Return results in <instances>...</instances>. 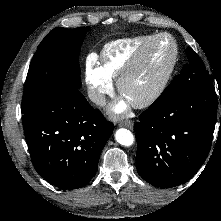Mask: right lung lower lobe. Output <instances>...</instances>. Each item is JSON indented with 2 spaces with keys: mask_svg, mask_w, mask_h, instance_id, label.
Returning <instances> with one entry per match:
<instances>
[{
  "mask_svg": "<svg viewBox=\"0 0 221 221\" xmlns=\"http://www.w3.org/2000/svg\"><path fill=\"white\" fill-rule=\"evenodd\" d=\"M22 118L32 163L47 182L73 190L95 176L114 127L78 88L63 85L46 92Z\"/></svg>",
  "mask_w": 221,
  "mask_h": 221,
  "instance_id": "1",
  "label": "right lung lower lobe"
}]
</instances>
